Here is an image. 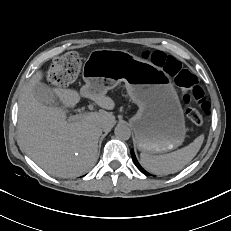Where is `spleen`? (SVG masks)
<instances>
[{
  "instance_id": "1",
  "label": "spleen",
  "mask_w": 231,
  "mask_h": 231,
  "mask_svg": "<svg viewBox=\"0 0 231 231\" xmlns=\"http://www.w3.org/2000/svg\"><path fill=\"white\" fill-rule=\"evenodd\" d=\"M203 140L204 136L200 135L188 146L163 155H151L142 152L140 154L141 163L146 170L158 175L178 172L196 156Z\"/></svg>"
}]
</instances>
